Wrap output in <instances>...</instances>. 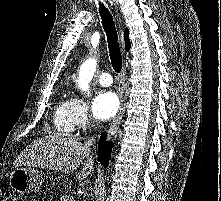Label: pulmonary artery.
Segmentation results:
<instances>
[{"label": "pulmonary artery", "mask_w": 221, "mask_h": 201, "mask_svg": "<svg viewBox=\"0 0 221 201\" xmlns=\"http://www.w3.org/2000/svg\"><path fill=\"white\" fill-rule=\"evenodd\" d=\"M99 83L102 86H110L112 84V77L108 72H103L99 76Z\"/></svg>", "instance_id": "obj_1"}]
</instances>
